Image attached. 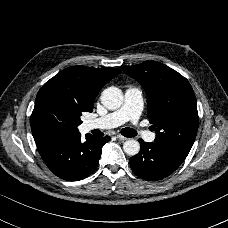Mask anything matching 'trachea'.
<instances>
[{
	"mask_svg": "<svg viewBox=\"0 0 228 228\" xmlns=\"http://www.w3.org/2000/svg\"><path fill=\"white\" fill-rule=\"evenodd\" d=\"M121 134L125 137H135L138 133L133 128H123Z\"/></svg>",
	"mask_w": 228,
	"mask_h": 228,
	"instance_id": "3493384b",
	"label": "trachea"
}]
</instances>
